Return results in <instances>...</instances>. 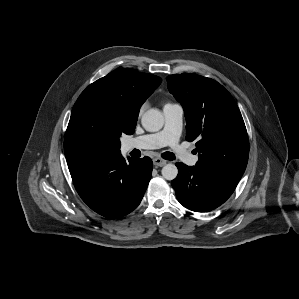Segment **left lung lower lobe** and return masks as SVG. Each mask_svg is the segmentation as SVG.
I'll use <instances>...</instances> for the list:
<instances>
[{
  "label": "left lung lower lobe",
  "mask_w": 299,
  "mask_h": 299,
  "mask_svg": "<svg viewBox=\"0 0 299 299\" xmlns=\"http://www.w3.org/2000/svg\"><path fill=\"white\" fill-rule=\"evenodd\" d=\"M178 176L171 182L178 201L196 212H207L223 204L238 182L197 166L176 163Z\"/></svg>",
  "instance_id": "left-lung-lower-lobe-1"
}]
</instances>
